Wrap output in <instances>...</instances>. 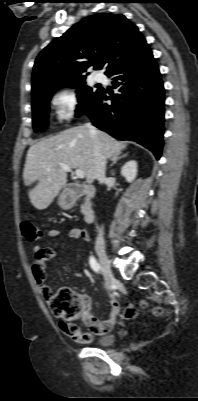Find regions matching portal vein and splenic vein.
<instances>
[{"label":"portal vein and splenic vein","instance_id":"18ae733b","mask_svg":"<svg viewBox=\"0 0 198 401\" xmlns=\"http://www.w3.org/2000/svg\"><path fill=\"white\" fill-rule=\"evenodd\" d=\"M59 166L65 171V172H71L72 168L70 166H68L67 164L64 163H59ZM47 170H50L49 168ZM75 175L77 178H84L85 177V173L84 171H82L81 169H76L75 170Z\"/></svg>","mask_w":198,"mask_h":401}]
</instances>
